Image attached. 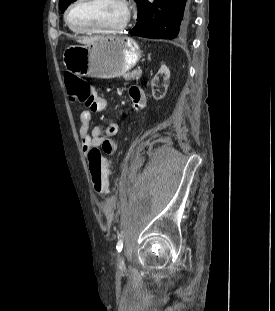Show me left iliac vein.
<instances>
[{"label":"left iliac vein","mask_w":275,"mask_h":311,"mask_svg":"<svg viewBox=\"0 0 275 311\" xmlns=\"http://www.w3.org/2000/svg\"><path fill=\"white\" fill-rule=\"evenodd\" d=\"M117 265H118V267H120V268L124 267V265H125L124 259H123V257L120 256V255L118 256V259H117Z\"/></svg>","instance_id":"4c4485c4"}]
</instances>
